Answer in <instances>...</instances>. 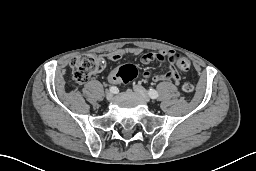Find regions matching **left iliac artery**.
Returning <instances> with one entry per match:
<instances>
[{
  "mask_svg": "<svg viewBox=\"0 0 256 171\" xmlns=\"http://www.w3.org/2000/svg\"><path fill=\"white\" fill-rule=\"evenodd\" d=\"M148 95L150 96V98H152V99H156V98H158V92L156 91V90H154V89H150L149 91H148Z\"/></svg>",
  "mask_w": 256,
  "mask_h": 171,
  "instance_id": "obj_1",
  "label": "left iliac artery"
}]
</instances>
